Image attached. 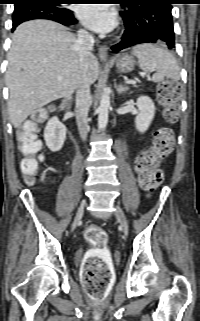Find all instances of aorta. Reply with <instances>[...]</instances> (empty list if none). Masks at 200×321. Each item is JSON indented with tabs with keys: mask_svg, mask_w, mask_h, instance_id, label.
Masks as SVG:
<instances>
[{
	"mask_svg": "<svg viewBox=\"0 0 200 321\" xmlns=\"http://www.w3.org/2000/svg\"><path fill=\"white\" fill-rule=\"evenodd\" d=\"M110 108V92L108 89H104L100 105L98 107V127L100 130H104L108 123V113Z\"/></svg>",
	"mask_w": 200,
	"mask_h": 321,
	"instance_id": "aorta-1",
	"label": "aorta"
}]
</instances>
